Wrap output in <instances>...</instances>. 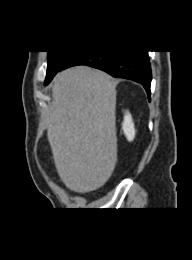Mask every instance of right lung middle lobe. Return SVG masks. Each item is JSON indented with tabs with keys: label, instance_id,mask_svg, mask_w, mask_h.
<instances>
[{
	"label": "right lung middle lobe",
	"instance_id": "obj_1",
	"mask_svg": "<svg viewBox=\"0 0 192 260\" xmlns=\"http://www.w3.org/2000/svg\"><path fill=\"white\" fill-rule=\"evenodd\" d=\"M73 54L74 52L72 51H48V67L45 82L51 80Z\"/></svg>",
	"mask_w": 192,
	"mask_h": 260
}]
</instances>
